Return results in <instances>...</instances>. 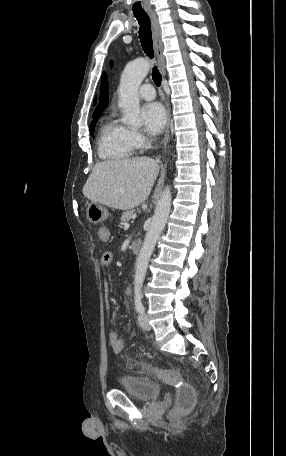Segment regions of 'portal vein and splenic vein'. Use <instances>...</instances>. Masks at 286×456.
I'll list each match as a JSON object with an SVG mask.
<instances>
[{"mask_svg":"<svg viewBox=\"0 0 286 456\" xmlns=\"http://www.w3.org/2000/svg\"><path fill=\"white\" fill-rule=\"evenodd\" d=\"M135 218H136V215L134 214V215L132 216V219H135Z\"/></svg>","mask_w":286,"mask_h":456,"instance_id":"obj_1","label":"portal vein and splenic vein"}]
</instances>
